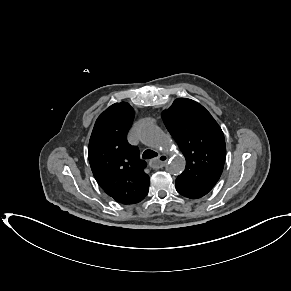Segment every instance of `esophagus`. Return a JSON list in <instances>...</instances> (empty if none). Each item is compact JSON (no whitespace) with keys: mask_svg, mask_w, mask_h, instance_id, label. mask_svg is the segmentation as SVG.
<instances>
[{"mask_svg":"<svg viewBox=\"0 0 291 291\" xmlns=\"http://www.w3.org/2000/svg\"><path fill=\"white\" fill-rule=\"evenodd\" d=\"M167 161H168V157L165 154H161L157 158H154L150 161V166L153 169H159L165 166Z\"/></svg>","mask_w":291,"mask_h":291,"instance_id":"obj_1","label":"esophagus"}]
</instances>
